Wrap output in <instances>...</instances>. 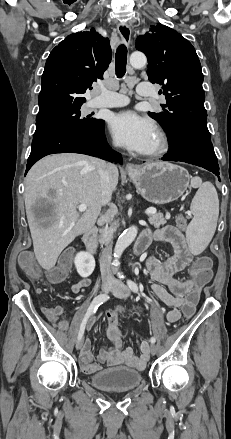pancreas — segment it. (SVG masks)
Instances as JSON below:
<instances>
[{"label": "pancreas", "mask_w": 231, "mask_h": 439, "mask_svg": "<svg viewBox=\"0 0 231 439\" xmlns=\"http://www.w3.org/2000/svg\"><path fill=\"white\" fill-rule=\"evenodd\" d=\"M149 223L153 225L156 228H159L160 226H163L166 224V219L164 218L163 214L156 213L153 215H150L148 219ZM119 226L118 221H114L108 226V224L105 225L103 229L100 230V236H99V242L105 243L111 240L113 233L116 231L117 227Z\"/></svg>", "instance_id": "pancreas-1"}]
</instances>
